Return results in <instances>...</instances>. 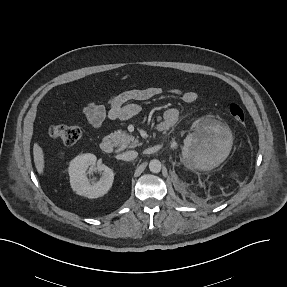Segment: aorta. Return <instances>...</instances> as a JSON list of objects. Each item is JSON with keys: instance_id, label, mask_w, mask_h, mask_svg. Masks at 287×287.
I'll list each match as a JSON object with an SVG mask.
<instances>
[{"instance_id": "762f6f07", "label": "aorta", "mask_w": 287, "mask_h": 287, "mask_svg": "<svg viewBox=\"0 0 287 287\" xmlns=\"http://www.w3.org/2000/svg\"><path fill=\"white\" fill-rule=\"evenodd\" d=\"M162 165L158 159H153L149 163V169L152 173H159L161 171Z\"/></svg>"}]
</instances>
